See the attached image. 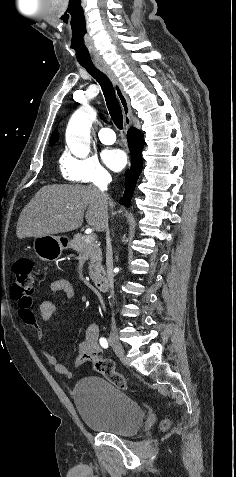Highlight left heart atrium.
Segmentation results:
<instances>
[{"label":"left heart atrium","mask_w":236,"mask_h":477,"mask_svg":"<svg viewBox=\"0 0 236 477\" xmlns=\"http://www.w3.org/2000/svg\"><path fill=\"white\" fill-rule=\"evenodd\" d=\"M103 159L106 165L114 171H120L127 163L126 153L117 148L104 151Z\"/></svg>","instance_id":"1"}]
</instances>
